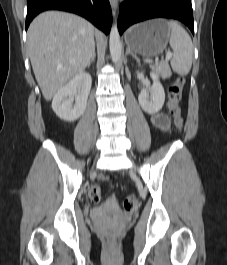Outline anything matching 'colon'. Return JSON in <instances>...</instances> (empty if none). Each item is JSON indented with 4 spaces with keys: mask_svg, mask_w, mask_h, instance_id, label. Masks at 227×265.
<instances>
[{
    "mask_svg": "<svg viewBox=\"0 0 227 265\" xmlns=\"http://www.w3.org/2000/svg\"><path fill=\"white\" fill-rule=\"evenodd\" d=\"M184 87V79L182 77H177L173 80L168 89V109L171 117L173 118L176 128L181 131L183 127V118L181 112V99L182 91ZM109 177L107 175H101L99 177V182H107ZM89 198L92 203L99 204L101 201V188L100 185L94 184L89 189ZM138 199L135 195H128L124 202L123 206L125 210L130 211L136 207ZM106 241L109 245L114 243V239L111 236L106 237Z\"/></svg>",
    "mask_w": 227,
    "mask_h": 265,
    "instance_id": "colon-1",
    "label": "colon"
}]
</instances>
